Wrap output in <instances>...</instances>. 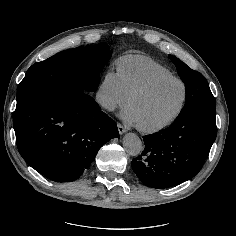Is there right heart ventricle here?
<instances>
[{"mask_svg":"<svg viewBox=\"0 0 236 236\" xmlns=\"http://www.w3.org/2000/svg\"><path fill=\"white\" fill-rule=\"evenodd\" d=\"M116 65L129 96L157 77L174 75L165 65L146 55H125L118 58Z\"/></svg>","mask_w":236,"mask_h":236,"instance_id":"1","label":"right heart ventricle"}]
</instances>
